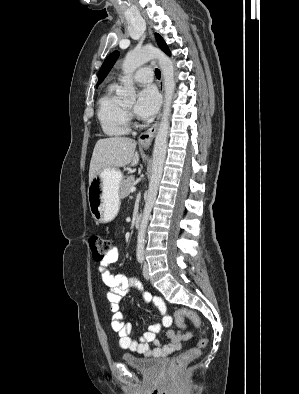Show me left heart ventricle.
<instances>
[{
  "mask_svg": "<svg viewBox=\"0 0 299 394\" xmlns=\"http://www.w3.org/2000/svg\"><path fill=\"white\" fill-rule=\"evenodd\" d=\"M131 107H132V104L127 105V108H131Z\"/></svg>",
  "mask_w": 299,
  "mask_h": 394,
  "instance_id": "obj_1",
  "label": "left heart ventricle"
}]
</instances>
